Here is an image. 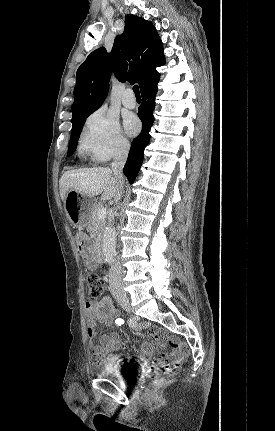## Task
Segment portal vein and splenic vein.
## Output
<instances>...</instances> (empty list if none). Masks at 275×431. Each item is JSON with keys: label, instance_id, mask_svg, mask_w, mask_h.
<instances>
[{"label": "portal vein and splenic vein", "instance_id": "18ae733b", "mask_svg": "<svg viewBox=\"0 0 275 431\" xmlns=\"http://www.w3.org/2000/svg\"><path fill=\"white\" fill-rule=\"evenodd\" d=\"M97 217L99 219H104L106 217V208L104 207L99 208L97 211Z\"/></svg>", "mask_w": 275, "mask_h": 431}]
</instances>
